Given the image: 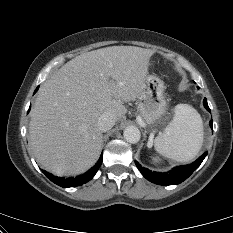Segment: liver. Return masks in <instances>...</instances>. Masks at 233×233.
Returning a JSON list of instances; mask_svg holds the SVG:
<instances>
[{
  "instance_id": "6515ba94",
  "label": "liver",
  "mask_w": 233,
  "mask_h": 233,
  "mask_svg": "<svg viewBox=\"0 0 233 233\" xmlns=\"http://www.w3.org/2000/svg\"><path fill=\"white\" fill-rule=\"evenodd\" d=\"M150 49L112 46L81 54L40 87L31 110L29 142L36 161L59 175H78L98 160L99 117L126 114L123 102L138 98L148 74Z\"/></svg>"
}]
</instances>
